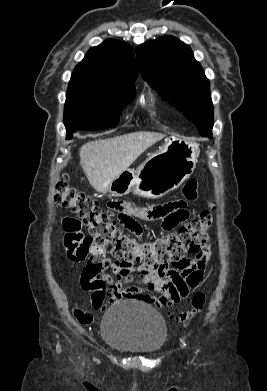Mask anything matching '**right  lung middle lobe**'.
I'll return each instance as SVG.
<instances>
[{"label": "right lung middle lobe", "instance_id": "1", "mask_svg": "<svg viewBox=\"0 0 267 391\" xmlns=\"http://www.w3.org/2000/svg\"><path fill=\"white\" fill-rule=\"evenodd\" d=\"M134 98L135 91H112L90 82H70L64 110L67 138L76 130L114 127L120 111Z\"/></svg>", "mask_w": 267, "mask_h": 391}]
</instances>
